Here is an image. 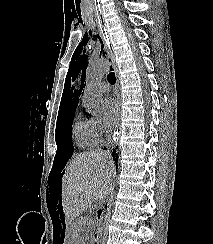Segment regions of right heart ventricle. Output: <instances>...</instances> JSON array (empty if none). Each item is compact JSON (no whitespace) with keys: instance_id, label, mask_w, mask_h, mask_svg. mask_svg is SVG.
Instances as JSON below:
<instances>
[{"instance_id":"right-heart-ventricle-1","label":"right heart ventricle","mask_w":213,"mask_h":244,"mask_svg":"<svg viewBox=\"0 0 213 244\" xmlns=\"http://www.w3.org/2000/svg\"><path fill=\"white\" fill-rule=\"evenodd\" d=\"M75 143L82 148L94 146V142L87 121L77 120L72 128Z\"/></svg>"}]
</instances>
